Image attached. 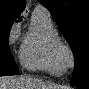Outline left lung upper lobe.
Here are the masks:
<instances>
[{
    "label": "left lung upper lobe",
    "mask_w": 89,
    "mask_h": 89,
    "mask_svg": "<svg viewBox=\"0 0 89 89\" xmlns=\"http://www.w3.org/2000/svg\"><path fill=\"white\" fill-rule=\"evenodd\" d=\"M52 14L75 58L71 85L89 87V0H38Z\"/></svg>",
    "instance_id": "1"
}]
</instances>
